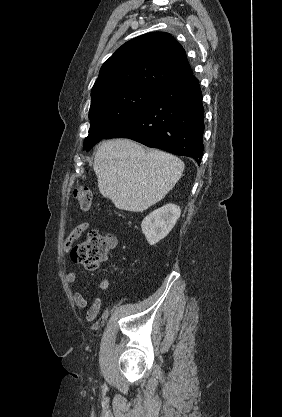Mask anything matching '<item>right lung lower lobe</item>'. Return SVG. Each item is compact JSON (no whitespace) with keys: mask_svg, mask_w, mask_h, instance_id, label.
<instances>
[{"mask_svg":"<svg viewBox=\"0 0 282 417\" xmlns=\"http://www.w3.org/2000/svg\"><path fill=\"white\" fill-rule=\"evenodd\" d=\"M204 109L199 82L192 75L161 90L105 139L129 138L148 147L189 156L200 164Z\"/></svg>","mask_w":282,"mask_h":417,"instance_id":"1","label":"right lung lower lobe"}]
</instances>
